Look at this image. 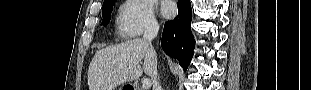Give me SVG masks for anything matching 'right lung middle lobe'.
Wrapping results in <instances>:
<instances>
[{"instance_id":"1","label":"right lung middle lobe","mask_w":311,"mask_h":90,"mask_svg":"<svg viewBox=\"0 0 311 90\" xmlns=\"http://www.w3.org/2000/svg\"><path fill=\"white\" fill-rule=\"evenodd\" d=\"M114 1L115 0H111L110 2L103 4L102 9L103 22L101 23V25L106 26L110 22Z\"/></svg>"}]
</instances>
